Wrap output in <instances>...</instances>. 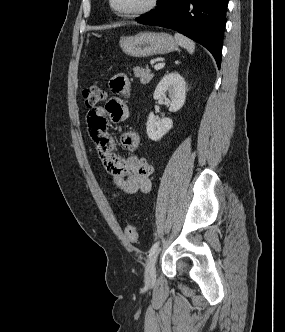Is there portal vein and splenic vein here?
I'll return each mask as SVG.
<instances>
[{
    "label": "portal vein and splenic vein",
    "instance_id": "1",
    "mask_svg": "<svg viewBox=\"0 0 285 332\" xmlns=\"http://www.w3.org/2000/svg\"><path fill=\"white\" fill-rule=\"evenodd\" d=\"M164 67V63H158V64H156L155 66H154V69L155 70H159V69H161V68H163Z\"/></svg>",
    "mask_w": 285,
    "mask_h": 332
}]
</instances>
